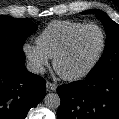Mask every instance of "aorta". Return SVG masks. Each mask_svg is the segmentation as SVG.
I'll return each mask as SVG.
<instances>
[{
	"mask_svg": "<svg viewBox=\"0 0 119 119\" xmlns=\"http://www.w3.org/2000/svg\"><path fill=\"white\" fill-rule=\"evenodd\" d=\"M60 97L57 93H48L44 98L45 106L48 109H57L60 106Z\"/></svg>",
	"mask_w": 119,
	"mask_h": 119,
	"instance_id": "aorta-1",
	"label": "aorta"
}]
</instances>
